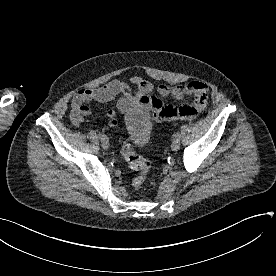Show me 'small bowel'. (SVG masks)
Instances as JSON below:
<instances>
[{"label": "small bowel", "mask_w": 276, "mask_h": 276, "mask_svg": "<svg viewBox=\"0 0 276 276\" xmlns=\"http://www.w3.org/2000/svg\"><path fill=\"white\" fill-rule=\"evenodd\" d=\"M154 85L148 80L134 76L130 83L112 80L102 86L79 90L72 99V121L79 124L92 114L89 104L93 101L106 103L116 98V109L107 112L108 125H118V115L130 114L136 110L150 113L152 120L168 121L173 119H192L205 110L208 99V86L202 81H191L182 85L169 86L161 84L156 88L160 98L183 100L192 96L193 102L181 106L165 105L159 97L152 93Z\"/></svg>", "instance_id": "obj_1"}]
</instances>
